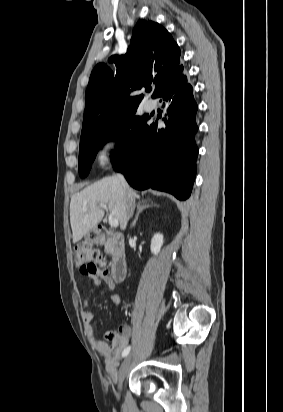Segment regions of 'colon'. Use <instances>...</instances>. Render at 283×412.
Here are the masks:
<instances>
[{
	"label": "colon",
	"mask_w": 283,
	"mask_h": 412,
	"mask_svg": "<svg viewBox=\"0 0 283 412\" xmlns=\"http://www.w3.org/2000/svg\"><path fill=\"white\" fill-rule=\"evenodd\" d=\"M74 260L80 266V271L85 275H107L104 269V263L97 249L78 246L74 249ZM117 334L113 332L106 333V339L114 341Z\"/></svg>",
	"instance_id": "obj_1"
}]
</instances>
